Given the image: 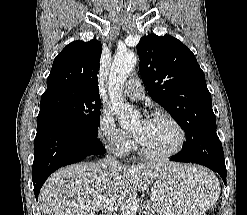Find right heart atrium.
<instances>
[{
	"label": "right heart atrium",
	"instance_id": "1",
	"mask_svg": "<svg viewBox=\"0 0 247 215\" xmlns=\"http://www.w3.org/2000/svg\"><path fill=\"white\" fill-rule=\"evenodd\" d=\"M97 135L104 146L118 156L128 154L133 145L132 136L121 129L106 110H101L99 114Z\"/></svg>",
	"mask_w": 247,
	"mask_h": 215
}]
</instances>
